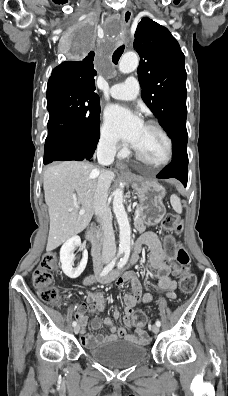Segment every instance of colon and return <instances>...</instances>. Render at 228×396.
I'll use <instances>...</instances> for the list:
<instances>
[{"label": "colon", "mask_w": 228, "mask_h": 396, "mask_svg": "<svg viewBox=\"0 0 228 396\" xmlns=\"http://www.w3.org/2000/svg\"><path fill=\"white\" fill-rule=\"evenodd\" d=\"M162 227L168 233L180 234L182 231V219L177 214H167L163 218ZM168 244L178 266L177 274L181 290L184 293H190L196 285V277L190 270V256L182 245H175L172 238H168ZM58 266V256L53 252H47L43 255L32 276L33 285L37 289L41 300L53 306L61 303L60 293L54 286L52 275V272ZM131 320L134 326L143 328L147 318L144 312L134 311Z\"/></svg>", "instance_id": "1"}]
</instances>
